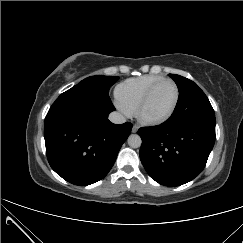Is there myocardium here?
Segmentation results:
<instances>
[{"instance_id":"obj_1","label":"myocardium","mask_w":243,"mask_h":243,"mask_svg":"<svg viewBox=\"0 0 243 243\" xmlns=\"http://www.w3.org/2000/svg\"><path fill=\"white\" fill-rule=\"evenodd\" d=\"M167 82L171 83L175 88V99H174L171 109L169 110V112L167 114H165L164 116L159 117V118L146 117L144 115V110H145L152 94L161 84L167 83ZM179 99H180V91H179V87L176 84V82L172 79L164 78V79L159 80L158 82L154 83L149 88V90L146 92V94L140 101V103L135 111V116H136L137 120L145 126H158V125L164 124L167 121H169L172 118V116L174 115V113L178 107V104H179Z\"/></svg>"}]
</instances>
